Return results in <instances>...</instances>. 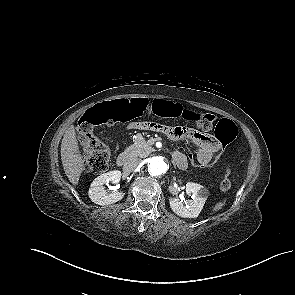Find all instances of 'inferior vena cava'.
<instances>
[{
    "label": "inferior vena cava",
    "mask_w": 295,
    "mask_h": 295,
    "mask_svg": "<svg viewBox=\"0 0 295 295\" xmlns=\"http://www.w3.org/2000/svg\"><path fill=\"white\" fill-rule=\"evenodd\" d=\"M141 159L131 158L124 163L123 170L126 172H132L141 165Z\"/></svg>",
    "instance_id": "602c4592"
}]
</instances>
